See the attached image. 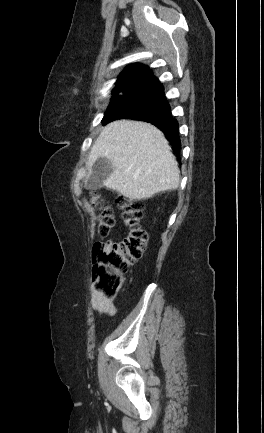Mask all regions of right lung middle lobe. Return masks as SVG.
Masks as SVG:
<instances>
[{"mask_svg": "<svg viewBox=\"0 0 264 433\" xmlns=\"http://www.w3.org/2000/svg\"><path fill=\"white\" fill-rule=\"evenodd\" d=\"M141 89H134L125 94H120L118 97L112 98V101L104 114L102 123L107 124L116 118L126 117L131 114L133 111L132 105L138 101Z\"/></svg>", "mask_w": 264, "mask_h": 433, "instance_id": "1", "label": "right lung middle lobe"}]
</instances>
